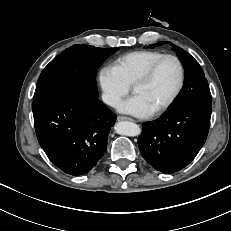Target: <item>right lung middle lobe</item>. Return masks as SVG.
Listing matches in <instances>:
<instances>
[{"label": "right lung middle lobe", "mask_w": 231, "mask_h": 231, "mask_svg": "<svg viewBox=\"0 0 231 231\" xmlns=\"http://www.w3.org/2000/svg\"><path fill=\"white\" fill-rule=\"evenodd\" d=\"M118 48L73 45L54 58L37 81L33 101L63 93L98 98L95 76L103 61Z\"/></svg>", "instance_id": "obj_1"}]
</instances>
